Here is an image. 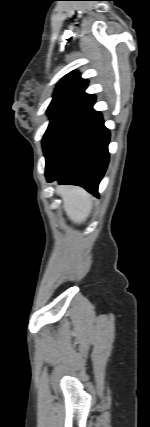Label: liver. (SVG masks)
I'll use <instances>...</instances> for the list:
<instances>
[{
	"mask_svg": "<svg viewBox=\"0 0 150 427\" xmlns=\"http://www.w3.org/2000/svg\"><path fill=\"white\" fill-rule=\"evenodd\" d=\"M56 192L63 200V208L69 219L77 224L86 221L92 210V198L82 188L58 186Z\"/></svg>",
	"mask_w": 150,
	"mask_h": 427,
	"instance_id": "6515ba94",
	"label": "liver"
}]
</instances>
